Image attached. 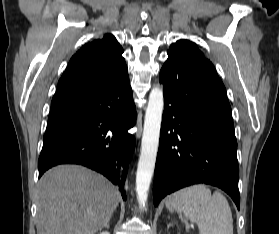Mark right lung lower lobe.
<instances>
[{
    "label": "right lung lower lobe",
    "instance_id": "98d812e1",
    "mask_svg": "<svg viewBox=\"0 0 279 234\" xmlns=\"http://www.w3.org/2000/svg\"><path fill=\"white\" fill-rule=\"evenodd\" d=\"M136 109L127 71L86 92L51 102L39 177L58 164H80L105 175L123 190L135 147L128 133Z\"/></svg>",
    "mask_w": 279,
    "mask_h": 234
}]
</instances>
